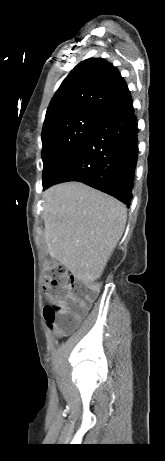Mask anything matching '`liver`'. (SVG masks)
Wrapping results in <instances>:
<instances>
[{
  "mask_svg": "<svg viewBox=\"0 0 165 461\" xmlns=\"http://www.w3.org/2000/svg\"><path fill=\"white\" fill-rule=\"evenodd\" d=\"M43 197L50 256L84 282L100 278L124 232L125 206L80 182L52 186Z\"/></svg>",
  "mask_w": 165,
  "mask_h": 461,
  "instance_id": "obj_1",
  "label": "liver"
}]
</instances>
